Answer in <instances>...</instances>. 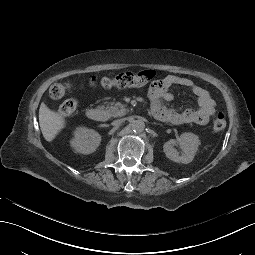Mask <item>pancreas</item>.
Listing matches in <instances>:
<instances>
[{
	"label": "pancreas",
	"instance_id": "obj_1",
	"mask_svg": "<svg viewBox=\"0 0 255 255\" xmlns=\"http://www.w3.org/2000/svg\"><path fill=\"white\" fill-rule=\"evenodd\" d=\"M106 111L107 113L111 116V117H122L126 114V109L124 104L117 102H110L107 106H106Z\"/></svg>",
	"mask_w": 255,
	"mask_h": 255
}]
</instances>
